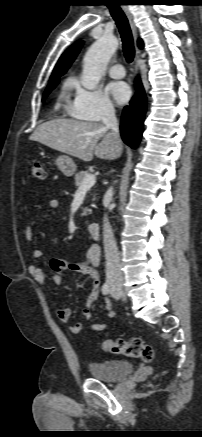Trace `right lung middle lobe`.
I'll use <instances>...</instances> for the list:
<instances>
[{"instance_id":"obj_1","label":"right lung middle lobe","mask_w":202,"mask_h":437,"mask_svg":"<svg viewBox=\"0 0 202 437\" xmlns=\"http://www.w3.org/2000/svg\"><path fill=\"white\" fill-rule=\"evenodd\" d=\"M59 80L50 82L48 87L46 88L44 95H43V100L46 98V96L56 87V85L58 84Z\"/></svg>"}]
</instances>
